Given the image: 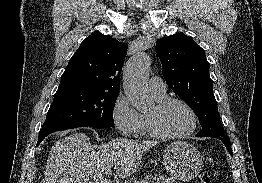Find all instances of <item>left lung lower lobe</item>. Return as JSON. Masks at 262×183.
<instances>
[{
	"label": "left lung lower lobe",
	"instance_id": "left-lung-lower-lobe-1",
	"mask_svg": "<svg viewBox=\"0 0 262 183\" xmlns=\"http://www.w3.org/2000/svg\"><path fill=\"white\" fill-rule=\"evenodd\" d=\"M220 139L226 146V148L228 149L229 153L232 155V150H231V147H230V141L227 137L225 138H218Z\"/></svg>",
	"mask_w": 262,
	"mask_h": 183
}]
</instances>
